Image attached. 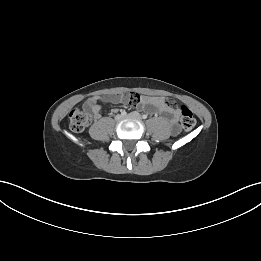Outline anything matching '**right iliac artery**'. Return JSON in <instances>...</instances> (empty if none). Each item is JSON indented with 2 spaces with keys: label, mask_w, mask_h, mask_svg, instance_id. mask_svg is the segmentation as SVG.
<instances>
[{
  "label": "right iliac artery",
  "mask_w": 261,
  "mask_h": 261,
  "mask_svg": "<svg viewBox=\"0 0 261 261\" xmlns=\"http://www.w3.org/2000/svg\"><path fill=\"white\" fill-rule=\"evenodd\" d=\"M121 115H122V116H126V115H127V112H126L125 110H122V111H121Z\"/></svg>",
  "instance_id": "right-iliac-artery-1"
}]
</instances>
